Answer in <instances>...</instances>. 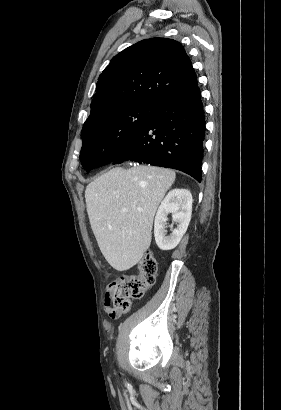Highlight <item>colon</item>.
<instances>
[{"label":"colon","mask_w":281,"mask_h":410,"mask_svg":"<svg viewBox=\"0 0 281 410\" xmlns=\"http://www.w3.org/2000/svg\"><path fill=\"white\" fill-rule=\"evenodd\" d=\"M157 274V262L153 254L147 251L139 264L138 275L121 274L113 280L108 293L113 305L112 317L128 312L131 301L141 299L145 292L154 285Z\"/></svg>","instance_id":"colon-1"}]
</instances>
